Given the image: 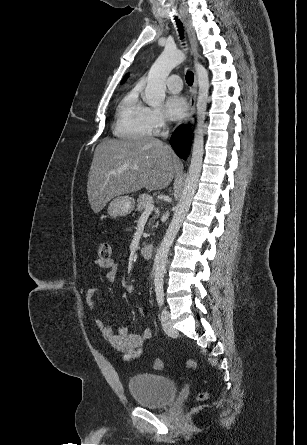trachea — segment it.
<instances>
[{
	"mask_svg": "<svg viewBox=\"0 0 307 445\" xmlns=\"http://www.w3.org/2000/svg\"><path fill=\"white\" fill-rule=\"evenodd\" d=\"M175 19H176V22H177V27H178V31H179L180 37H181V39H183L184 38V36H183L184 35L183 25L180 22V20L177 19V17H175ZM185 78H186L187 84L191 86L193 84V80H194V75L191 72V70L187 71Z\"/></svg>",
	"mask_w": 307,
	"mask_h": 445,
	"instance_id": "trachea-1",
	"label": "trachea"
}]
</instances>
